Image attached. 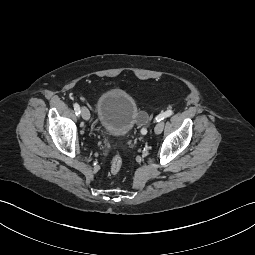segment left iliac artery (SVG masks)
Wrapping results in <instances>:
<instances>
[{
	"label": "left iliac artery",
	"mask_w": 255,
	"mask_h": 255,
	"mask_svg": "<svg viewBox=\"0 0 255 255\" xmlns=\"http://www.w3.org/2000/svg\"><path fill=\"white\" fill-rule=\"evenodd\" d=\"M172 113H173L172 110H167V111H165V112L159 114V115L156 117L155 120H156V122H160V121L164 120L165 118L171 116ZM146 132H147V131H146L145 129H142V130H141V133H142V134H146Z\"/></svg>",
	"instance_id": "1"
}]
</instances>
